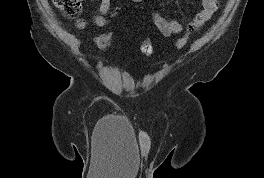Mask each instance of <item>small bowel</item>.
Segmentation results:
<instances>
[{
  "label": "small bowel",
  "mask_w": 264,
  "mask_h": 178,
  "mask_svg": "<svg viewBox=\"0 0 264 178\" xmlns=\"http://www.w3.org/2000/svg\"><path fill=\"white\" fill-rule=\"evenodd\" d=\"M135 4H141L146 7V0H131ZM218 9V0H202V9L195 15L192 22L186 28L187 33H193L209 21ZM120 7H111V0H99V10L92 17L95 26L102 28L108 25L109 18L115 17L120 13ZM147 11L157 28V30L165 37L179 34L183 31V24L173 18H167L158 12L147 8ZM75 26L79 30H83L87 26V20L83 17L78 18Z\"/></svg>",
  "instance_id": "1"
}]
</instances>
